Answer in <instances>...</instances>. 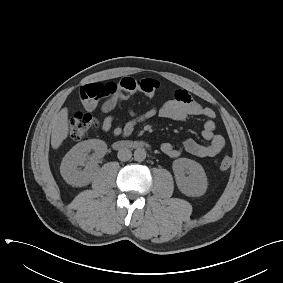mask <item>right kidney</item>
I'll return each instance as SVG.
<instances>
[{"mask_svg":"<svg viewBox=\"0 0 283 283\" xmlns=\"http://www.w3.org/2000/svg\"><path fill=\"white\" fill-rule=\"evenodd\" d=\"M94 151L92 156L88 153ZM107 145L104 141L90 139L76 144L63 158L60 173L70 185L82 187L88 185L97 168V160L104 157ZM79 166H85L83 170Z\"/></svg>","mask_w":283,"mask_h":283,"instance_id":"ca27d5eb","label":"right kidney"}]
</instances>
